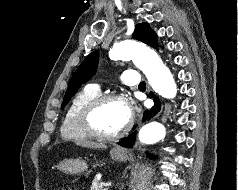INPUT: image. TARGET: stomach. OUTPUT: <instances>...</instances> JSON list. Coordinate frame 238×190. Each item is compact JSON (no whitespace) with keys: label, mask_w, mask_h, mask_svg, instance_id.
Here are the masks:
<instances>
[{"label":"stomach","mask_w":238,"mask_h":190,"mask_svg":"<svg viewBox=\"0 0 238 190\" xmlns=\"http://www.w3.org/2000/svg\"><path fill=\"white\" fill-rule=\"evenodd\" d=\"M111 158L114 161H126L128 153L123 148H113L110 151ZM58 169L67 174H78L87 170L88 166L84 160L81 159H66L58 164Z\"/></svg>","instance_id":"1"}]
</instances>
